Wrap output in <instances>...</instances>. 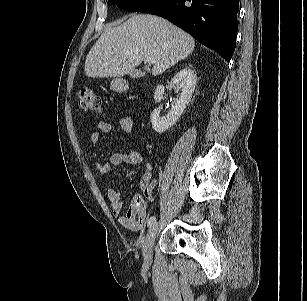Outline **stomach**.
<instances>
[{
    "label": "stomach",
    "mask_w": 307,
    "mask_h": 301,
    "mask_svg": "<svg viewBox=\"0 0 307 301\" xmlns=\"http://www.w3.org/2000/svg\"><path fill=\"white\" fill-rule=\"evenodd\" d=\"M110 87H111L112 90L119 92V93L126 91L127 88H128L125 81H123L122 79H119V78L113 79Z\"/></svg>",
    "instance_id": "0dacf381"
}]
</instances>
